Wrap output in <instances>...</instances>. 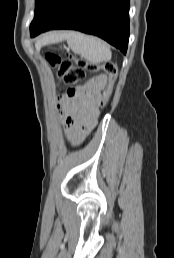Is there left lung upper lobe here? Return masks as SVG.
<instances>
[{
  "instance_id": "1",
  "label": "left lung upper lobe",
  "mask_w": 174,
  "mask_h": 258,
  "mask_svg": "<svg viewBox=\"0 0 174 258\" xmlns=\"http://www.w3.org/2000/svg\"><path fill=\"white\" fill-rule=\"evenodd\" d=\"M57 1L58 0H36L35 15L30 25V33L38 28Z\"/></svg>"
}]
</instances>
